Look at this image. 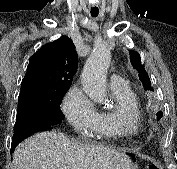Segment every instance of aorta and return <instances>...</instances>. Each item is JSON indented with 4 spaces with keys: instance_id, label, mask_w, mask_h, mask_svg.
Masks as SVG:
<instances>
[{
    "instance_id": "762f6f07",
    "label": "aorta",
    "mask_w": 177,
    "mask_h": 169,
    "mask_svg": "<svg viewBox=\"0 0 177 169\" xmlns=\"http://www.w3.org/2000/svg\"><path fill=\"white\" fill-rule=\"evenodd\" d=\"M110 62V51L105 46H95L81 74L83 91L97 103L106 100V74Z\"/></svg>"
}]
</instances>
